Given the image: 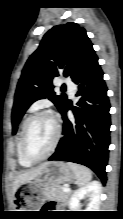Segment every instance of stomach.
Segmentation results:
<instances>
[{"label":"stomach","mask_w":123,"mask_h":219,"mask_svg":"<svg viewBox=\"0 0 123 219\" xmlns=\"http://www.w3.org/2000/svg\"><path fill=\"white\" fill-rule=\"evenodd\" d=\"M75 175L64 162H49L45 169L34 179L23 184L19 209H38L44 202L45 190L54 184L73 182ZM35 211V210H15Z\"/></svg>","instance_id":"1"}]
</instances>
